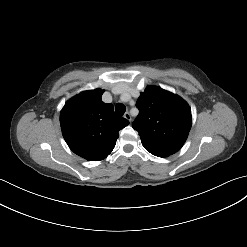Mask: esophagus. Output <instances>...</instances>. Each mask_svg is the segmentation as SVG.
<instances>
[{"label":"esophagus","mask_w":247,"mask_h":247,"mask_svg":"<svg viewBox=\"0 0 247 247\" xmlns=\"http://www.w3.org/2000/svg\"><path fill=\"white\" fill-rule=\"evenodd\" d=\"M124 118H126L129 122H131V120H132L131 115H130V113H128V112H126V113L124 114Z\"/></svg>","instance_id":"esophagus-1"}]
</instances>
